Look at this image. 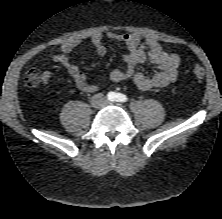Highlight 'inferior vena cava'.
Returning <instances> with one entry per match:
<instances>
[{
  "instance_id": "inferior-vena-cava-1",
  "label": "inferior vena cava",
  "mask_w": 222,
  "mask_h": 219,
  "mask_svg": "<svg viewBox=\"0 0 222 219\" xmlns=\"http://www.w3.org/2000/svg\"><path fill=\"white\" fill-rule=\"evenodd\" d=\"M92 103L94 105L98 104V105H102L103 103H105V97L103 94H96L92 97Z\"/></svg>"
}]
</instances>
